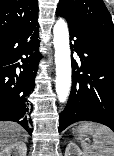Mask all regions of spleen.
<instances>
[{
  "label": "spleen",
  "instance_id": "obj_1",
  "mask_svg": "<svg viewBox=\"0 0 114 156\" xmlns=\"http://www.w3.org/2000/svg\"><path fill=\"white\" fill-rule=\"evenodd\" d=\"M80 136L91 135L93 144L88 145L81 140L85 156H114V132L108 127L94 123L84 122L79 126Z\"/></svg>",
  "mask_w": 114,
  "mask_h": 156
}]
</instances>
